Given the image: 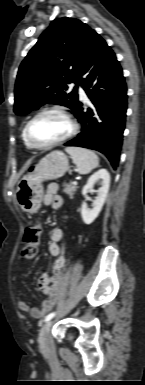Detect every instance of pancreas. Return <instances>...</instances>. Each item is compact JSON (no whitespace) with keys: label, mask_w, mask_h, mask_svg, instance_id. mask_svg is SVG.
<instances>
[{"label":"pancreas","mask_w":145,"mask_h":385,"mask_svg":"<svg viewBox=\"0 0 145 385\" xmlns=\"http://www.w3.org/2000/svg\"><path fill=\"white\" fill-rule=\"evenodd\" d=\"M63 187H64L63 189L64 193H66L68 196H70V198H72L74 193L76 192L77 186L74 185L73 183H70V184H64Z\"/></svg>","instance_id":"pancreas-1"}]
</instances>
